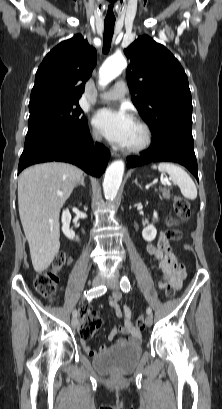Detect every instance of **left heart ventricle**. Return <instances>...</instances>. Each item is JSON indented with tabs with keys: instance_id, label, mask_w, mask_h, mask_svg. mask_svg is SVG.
<instances>
[{
	"instance_id": "obj_1",
	"label": "left heart ventricle",
	"mask_w": 222,
	"mask_h": 409,
	"mask_svg": "<svg viewBox=\"0 0 222 409\" xmlns=\"http://www.w3.org/2000/svg\"><path fill=\"white\" fill-rule=\"evenodd\" d=\"M141 140H142V131L140 130V128L136 124H134V127H133L132 133L130 135L129 142H128L127 146L136 145V144L140 143Z\"/></svg>"
}]
</instances>
